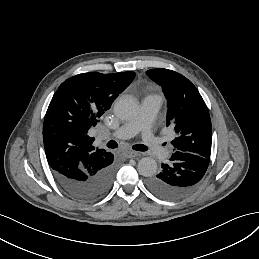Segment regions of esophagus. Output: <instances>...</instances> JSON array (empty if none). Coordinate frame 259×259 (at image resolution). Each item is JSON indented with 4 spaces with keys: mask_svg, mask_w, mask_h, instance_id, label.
Masks as SVG:
<instances>
[{
    "mask_svg": "<svg viewBox=\"0 0 259 259\" xmlns=\"http://www.w3.org/2000/svg\"><path fill=\"white\" fill-rule=\"evenodd\" d=\"M137 156H139V153L135 152V151L124 152V157H126V158H134V157H137Z\"/></svg>",
    "mask_w": 259,
    "mask_h": 259,
    "instance_id": "esophagus-1",
    "label": "esophagus"
}]
</instances>
